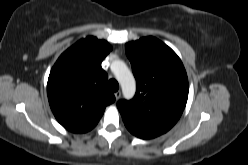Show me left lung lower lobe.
Instances as JSON below:
<instances>
[{"label":"left lung lower lobe","instance_id":"obj_1","mask_svg":"<svg viewBox=\"0 0 248 165\" xmlns=\"http://www.w3.org/2000/svg\"><path fill=\"white\" fill-rule=\"evenodd\" d=\"M123 118V117H122ZM124 124L127 127V129L134 134L135 136L142 138V139H150V138H154L157 137L159 135H161L162 133H159L155 130H151V129H147V128H143L140 127L136 124H133L132 122H130L129 120L123 118Z\"/></svg>","mask_w":248,"mask_h":165}]
</instances>
